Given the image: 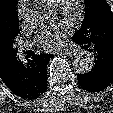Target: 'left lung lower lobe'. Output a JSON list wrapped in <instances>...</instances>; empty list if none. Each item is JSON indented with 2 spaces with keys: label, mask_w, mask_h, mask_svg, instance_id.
Listing matches in <instances>:
<instances>
[{
  "label": "left lung lower lobe",
  "mask_w": 113,
  "mask_h": 113,
  "mask_svg": "<svg viewBox=\"0 0 113 113\" xmlns=\"http://www.w3.org/2000/svg\"><path fill=\"white\" fill-rule=\"evenodd\" d=\"M81 35L73 36V41L94 55V66L88 73L77 74L81 88L88 92H99L113 82V37H99L93 42L81 39ZM86 38V37H85Z\"/></svg>",
  "instance_id": "obj_1"
}]
</instances>
